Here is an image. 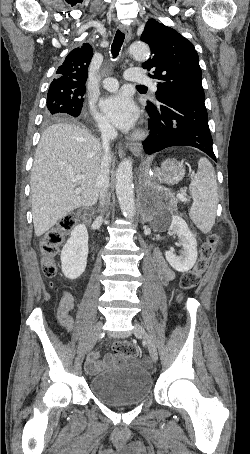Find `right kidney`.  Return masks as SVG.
I'll return each instance as SVG.
<instances>
[{
    "label": "right kidney",
    "instance_id": "right-kidney-1",
    "mask_svg": "<svg viewBox=\"0 0 250 454\" xmlns=\"http://www.w3.org/2000/svg\"><path fill=\"white\" fill-rule=\"evenodd\" d=\"M88 232L84 224L77 225L61 251L62 272L68 279L79 278L86 269Z\"/></svg>",
    "mask_w": 250,
    "mask_h": 454
}]
</instances>
